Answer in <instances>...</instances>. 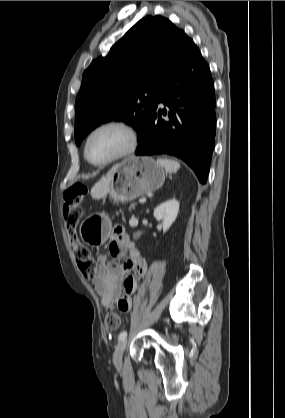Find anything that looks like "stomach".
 Returning <instances> with one entry per match:
<instances>
[{
    "instance_id": "1",
    "label": "stomach",
    "mask_w": 285,
    "mask_h": 418,
    "mask_svg": "<svg viewBox=\"0 0 285 418\" xmlns=\"http://www.w3.org/2000/svg\"><path fill=\"white\" fill-rule=\"evenodd\" d=\"M165 181L164 169L151 157L130 156L113 171L109 195L114 202H128L160 188ZM111 232V220L104 213L87 217L79 233L84 242L104 244Z\"/></svg>"
}]
</instances>
